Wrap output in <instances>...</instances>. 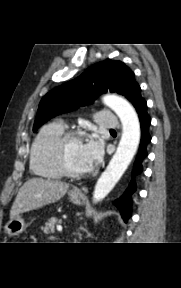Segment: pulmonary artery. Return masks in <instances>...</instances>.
<instances>
[{
	"instance_id": "obj_1",
	"label": "pulmonary artery",
	"mask_w": 181,
	"mask_h": 288,
	"mask_svg": "<svg viewBox=\"0 0 181 288\" xmlns=\"http://www.w3.org/2000/svg\"><path fill=\"white\" fill-rule=\"evenodd\" d=\"M95 120L99 127L106 129H115L119 127V121L116 115L109 111H99Z\"/></svg>"
}]
</instances>
